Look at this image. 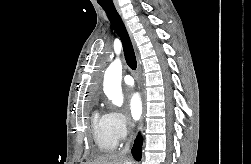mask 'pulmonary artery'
Masks as SVG:
<instances>
[{"label":"pulmonary artery","instance_id":"1","mask_svg":"<svg viewBox=\"0 0 251 164\" xmlns=\"http://www.w3.org/2000/svg\"><path fill=\"white\" fill-rule=\"evenodd\" d=\"M123 81L126 85L128 86H133L134 85V79L131 75H125L123 78Z\"/></svg>","mask_w":251,"mask_h":164}]
</instances>
